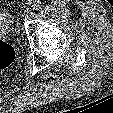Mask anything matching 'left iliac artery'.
<instances>
[{
	"label": "left iliac artery",
	"instance_id": "obj_1",
	"mask_svg": "<svg viewBox=\"0 0 113 113\" xmlns=\"http://www.w3.org/2000/svg\"><path fill=\"white\" fill-rule=\"evenodd\" d=\"M40 7H41L40 0H36L33 4V10H39Z\"/></svg>",
	"mask_w": 113,
	"mask_h": 113
}]
</instances>
